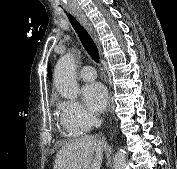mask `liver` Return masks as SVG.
I'll return each mask as SVG.
<instances>
[{
	"instance_id": "6515ba94",
	"label": "liver",
	"mask_w": 177,
	"mask_h": 169,
	"mask_svg": "<svg viewBox=\"0 0 177 169\" xmlns=\"http://www.w3.org/2000/svg\"><path fill=\"white\" fill-rule=\"evenodd\" d=\"M105 149V141L82 136L62 146L56 154L53 169H100Z\"/></svg>"
}]
</instances>
